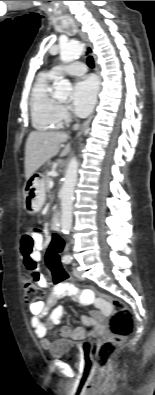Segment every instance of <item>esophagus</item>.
<instances>
[{"label": "esophagus", "mask_w": 155, "mask_h": 395, "mask_svg": "<svg viewBox=\"0 0 155 395\" xmlns=\"http://www.w3.org/2000/svg\"><path fill=\"white\" fill-rule=\"evenodd\" d=\"M77 28H78V33H79V35H80V37H81V39H82V41H83V43H84V45H85V49H86L87 54H89V55H91V56L93 57L94 62H95V65H96V68H97V70L99 71V65H98V63H97V58H96V56H95V54H94V52H93V48H92V45H91V43H90V41H89V38H88L87 34L81 29V27H80L79 24L77 25ZM92 117H93V116H90V117L83 123L82 129L86 128V127L89 125V123H90Z\"/></svg>", "instance_id": "esophagus-1"}]
</instances>
